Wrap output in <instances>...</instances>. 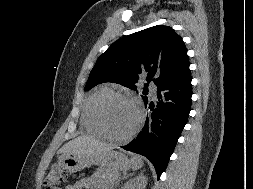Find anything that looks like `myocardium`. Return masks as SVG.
Wrapping results in <instances>:
<instances>
[{
    "mask_svg": "<svg viewBox=\"0 0 253 189\" xmlns=\"http://www.w3.org/2000/svg\"><path fill=\"white\" fill-rule=\"evenodd\" d=\"M112 100H120V101L126 102L132 105L137 111V122L135 126L128 134L124 136L113 135L108 130L105 124V121L103 118V109L105 105ZM93 115H94L95 122L97 126L99 127V129L101 130L103 136L106 137L107 139H110L116 142H126L132 139L142 127L143 120H144V114L139 104L131 97L126 96L119 92H110L100 97L94 105Z\"/></svg>",
    "mask_w": 253,
    "mask_h": 189,
    "instance_id": "1",
    "label": "myocardium"
}]
</instances>
